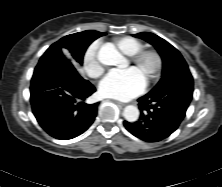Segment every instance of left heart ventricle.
<instances>
[{"label":"left heart ventricle","mask_w":222,"mask_h":187,"mask_svg":"<svg viewBox=\"0 0 222 187\" xmlns=\"http://www.w3.org/2000/svg\"><path fill=\"white\" fill-rule=\"evenodd\" d=\"M129 64L128 66H130ZM134 68H136L143 78L147 80V78L152 74L155 68V61L152 57H147L141 64L134 65Z\"/></svg>","instance_id":"1"}]
</instances>
